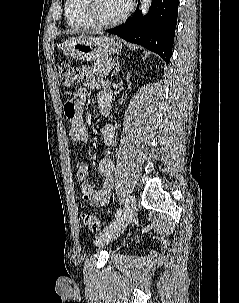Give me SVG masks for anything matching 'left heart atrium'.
I'll return each mask as SVG.
<instances>
[{"label": "left heart atrium", "instance_id": "left-heart-atrium-1", "mask_svg": "<svg viewBox=\"0 0 239 303\" xmlns=\"http://www.w3.org/2000/svg\"><path fill=\"white\" fill-rule=\"evenodd\" d=\"M125 2L127 3V5L131 2V0H125Z\"/></svg>", "mask_w": 239, "mask_h": 303}]
</instances>
